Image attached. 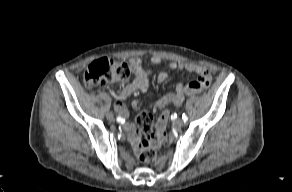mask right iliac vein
Here are the masks:
<instances>
[{"label":"right iliac vein","instance_id":"63e3f726","mask_svg":"<svg viewBox=\"0 0 292 192\" xmlns=\"http://www.w3.org/2000/svg\"><path fill=\"white\" fill-rule=\"evenodd\" d=\"M106 117H107V119H108L109 121H113V120H114V115H113L111 112L107 113V114H106Z\"/></svg>","mask_w":292,"mask_h":192}]
</instances>
